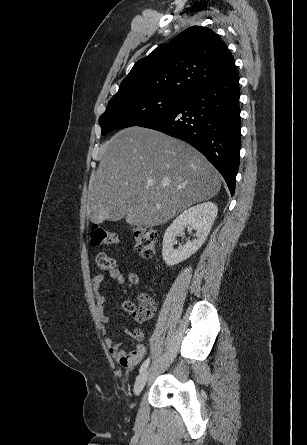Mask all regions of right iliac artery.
<instances>
[{"label": "right iliac artery", "instance_id": "obj_1", "mask_svg": "<svg viewBox=\"0 0 307 445\" xmlns=\"http://www.w3.org/2000/svg\"><path fill=\"white\" fill-rule=\"evenodd\" d=\"M149 362H150V359L147 358V359L142 363V365H141V367H140V373H142L144 370H146V368H147L148 365H149Z\"/></svg>", "mask_w": 307, "mask_h": 445}]
</instances>
